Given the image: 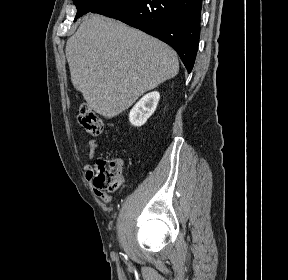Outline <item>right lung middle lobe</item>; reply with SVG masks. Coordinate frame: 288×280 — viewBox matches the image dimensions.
<instances>
[{"instance_id":"obj_1","label":"right lung middle lobe","mask_w":288,"mask_h":280,"mask_svg":"<svg viewBox=\"0 0 288 280\" xmlns=\"http://www.w3.org/2000/svg\"><path fill=\"white\" fill-rule=\"evenodd\" d=\"M74 4L77 7V14L74 19L76 21L77 18L82 16L83 14H86L88 12H91L101 4L109 1V0H73Z\"/></svg>"}]
</instances>
